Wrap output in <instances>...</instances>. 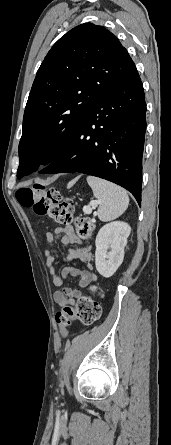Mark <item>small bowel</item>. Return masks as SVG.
<instances>
[{
	"instance_id": "obj_1",
	"label": "small bowel",
	"mask_w": 171,
	"mask_h": 445,
	"mask_svg": "<svg viewBox=\"0 0 171 445\" xmlns=\"http://www.w3.org/2000/svg\"><path fill=\"white\" fill-rule=\"evenodd\" d=\"M45 240L51 245L59 241L63 247H67L76 241V236L72 227H56L45 234ZM68 257H80L85 263L86 269L82 270L75 266H65L59 275L54 266L56 262L54 250L47 249L45 251V260L49 274L53 283L60 288L54 292L53 299L55 303L61 307L74 305L76 298L83 294L81 289L88 288L97 279L95 273L92 271V257L87 251H70ZM69 276L79 278L78 288L71 289L66 285V278ZM61 332L64 336L67 335L65 328H61Z\"/></svg>"
}]
</instances>
